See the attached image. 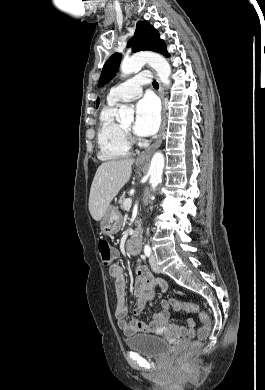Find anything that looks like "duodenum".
Instances as JSON below:
<instances>
[{"label":"duodenum","mask_w":265,"mask_h":390,"mask_svg":"<svg viewBox=\"0 0 265 390\" xmlns=\"http://www.w3.org/2000/svg\"><path fill=\"white\" fill-rule=\"evenodd\" d=\"M126 248L129 252L137 254L141 249L140 231L135 230L133 236L127 241Z\"/></svg>","instance_id":"1"}]
</instances>
